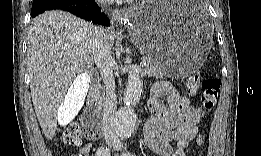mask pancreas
Returning a JSON list of instances; mask_svg holds the SVG:
<instances>
[{
  "label": "pancreas",
  "instance_id": "obj_1",
  "mask_svg": "<svg viewBox=\"0 0 261 156\" xmlns=\"http://www.w3.org/2000/svg\"><path fill=\"white\" fill-rule=\"evenodd\" d=\"M142 59H144L147 62L145 69L150 76L162 75V70L158 66L155 65L152 57L145 55L144 57H142ZM96 97L100 104H102L104 102V94L101 93L99 90L96 93Z\"/></svg>",
  "mask_w": 261,
  "mask_h": 156
}]
</instances>
